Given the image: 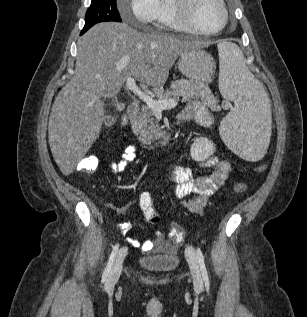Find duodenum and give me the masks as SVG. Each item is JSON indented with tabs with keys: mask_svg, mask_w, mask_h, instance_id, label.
<instances>
[{
	"mask_svg": "<svg viewBox=\"0 0 307 317\" xmlns=\"http://www.w3.org/2000/svg\"><path fill=\"white\" fill-rule=\"evenodd\" d=\"M140 108L141 106L139 101H133L128 107L127 117H128L130 126L133 128H136L135 121L140 112ZM181 121H182L181 119L178 120V122H181ZM170 136H171L170 131H163L153 138L145 139L144 144L146 146H152L153 143L154 144L163 143V142H166L170 138Z\"/></svg>",
	"mask_w": 307,
	"mask_h": 317,
	"instance_id": "1",
	"label": "duodenum"
}]
</instances>
